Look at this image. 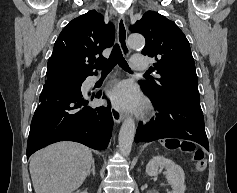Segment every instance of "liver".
Segmentation results:
<instances>
[{
  "label": "liver",
  "mask_w": 237,
  "mask_h": 193,
  "mask_svg": "<svg viewBox=\"0 0 237 193\" xmlns=\"http://www.w3.org/2000/svg\"><path fill=\"white\" fill-rule=\"evenodd\" d=\"M92 152L76 142H57L31 156L29 170L35 193H72L86 179Z\"/></svg>",
  "instance_id": "1"
}]
</instances>
